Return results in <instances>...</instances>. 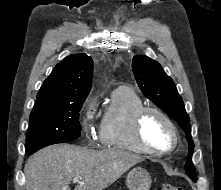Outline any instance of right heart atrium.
<instances>
[{
  "label": "right heart atrium",
  "instance_id": "obj_1",
  "mask_svg": "<svg viewBox=\"0 0 221 190\" xmlns=\"http://www.w3.org/2000/svg\"><path fill=\"white\" fill-rule=\"evenodd\" d=\"M96 112L95 102L92 99L85 101L83 105L82 127L87 131L94 122Z\"/></svg>",
  "mask_w": 221,
  "mask_h": 190
}]
</instances>
